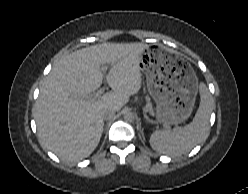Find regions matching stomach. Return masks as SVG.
I'll return each mask as SVG.
<instances>
[{
    "label": "stomach",
    "instance_id": "obj_1",
    "mask_svg": "<svg viewBox=\"0 0 248 194\" xmlns=\"http://www.w3.org/2000/svg\"><path fill=\"white\" fill-rule=\"evenodd\" d=\"M147 89L156 102L159 123L184 122L194 108L198 78L192 66L160 46H148L139 57Z\"/></svg>",
    "mask_w": 248,
    "mask_h": 194
}]
</instances>
